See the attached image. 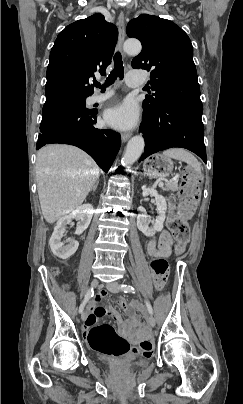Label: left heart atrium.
I'll list each match as a JSON object with an SVG mask.
<instances>
[{"mask_svg": "<svg viewBox=\"0 0 243 404\" xmlns=\"http://www.w3.org/2000/svg\"><path fill=\"white\" fill-rule=\"evenodd\" d=\"M104 121L115 129H130L137 121L134 107L129 103H121L105 111Z\"/></svg>", "mask_w": 243, "mask_h": 404, "instance_id": "obj_1", "label": "left heart atrium"}]
</instances>
